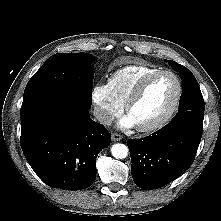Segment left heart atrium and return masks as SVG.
Returning <instances> with one entry per match:
<instances>
[{
  "label": "left heart atrium",
  "instance_id": "obj_1",
  "mask_svg": "<svg viewBox=\"0 0 221 221\" xmlns=\"http://www.w3.org/2000/svg\"><path fill=\"white\" fill-rule=\"evenodd\" d=\"M120 126L124 128H131L135 126V123L132 120V118L129 115H127L121 119Z\"/></svg>",
  "mask_w": 221,
  "mask_h": 221
}]
</instances>
